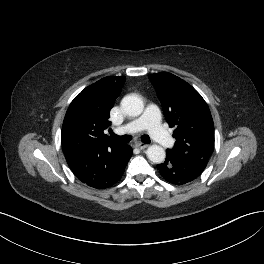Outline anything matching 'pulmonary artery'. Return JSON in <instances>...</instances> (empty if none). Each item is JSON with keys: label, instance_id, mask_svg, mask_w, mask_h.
<instances>
[{"label": "pulmonary artery", "instance_id": "1", "mask_svg": "<svg viewBox=\"0 0 264 264\" xmlns=\"http://www.w3.org/2000/svg\"><path fill=\"white\" fill-rule=\"evenodd\" d=\"M143 129H148L150 135L162 147L173 145V138L164 130L161 124L160 110L155 105H149L143 116L122 125L116 132L119 134H134Z\"/></svg>", "mask_w": 264, "mask_h": 264}]
</instances>
